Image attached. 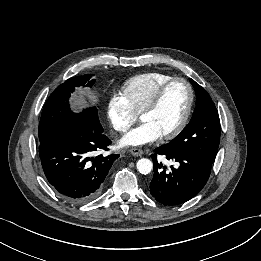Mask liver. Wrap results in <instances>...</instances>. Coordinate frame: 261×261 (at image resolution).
<instances>
[{"mask_svg":"<svg viewBox=\"0 0 261 261\" xmlns=\"http://www.w3.org/2000/svg\"><path fill=\"white\" fill-rule=\"evenodd\" d=\"M74 99H75L76 105H78V106L86 103V97L83 95V93H77V95H74Z\"/></svg>","mask_w":261,"mask_h":261,"instance_id":"1","label":"liver"}]
</instances>
